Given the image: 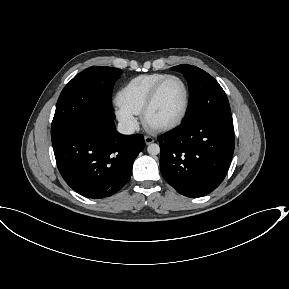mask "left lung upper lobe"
Wrapping results in <instances>:
<instances>
[{"label": "left lung upper lobe", "instance_id": "obj_1", "mask_svg": "<svg viewBox=\"0 0 289 289\" xmlns=\"http://www.w3.org/2000/svg\"><path fill=\"white\" fill-rule=\"evenodd\" d=\"M172 69L183 73L189 86V104L182 124L202 117H214L232 122L226 94L211 75L196 66L187 64Z\"/></svg>", "mask_w": 289, "mask_h": 289}]
</instances>
